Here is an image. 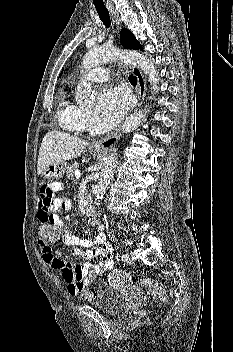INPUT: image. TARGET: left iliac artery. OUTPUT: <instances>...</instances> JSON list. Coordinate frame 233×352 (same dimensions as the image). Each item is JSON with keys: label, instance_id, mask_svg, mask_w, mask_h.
Returning <instances> with one entry per match:
<instances>
[{"label": "left iliac artery", "instance_id": "obj_1", "mask_svg": "<svg viewBox=\"0 0 233 352\" xmlns=\"http://www.w3.org/2000/svg\"><path fill=\"white\" fill-rule=\"evenodd\" d=\"M122 261H126L127 260V255L126 254H123L122 257H121Z\"/></svg>", "mask_w": 233, "mask_h": 352}]
</instances>
